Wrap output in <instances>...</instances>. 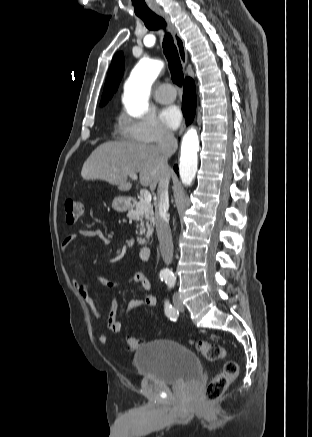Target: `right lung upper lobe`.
Masks as SVG:
<instances>
[{"instance_id": "1", "label": "right lung upper lobe", "mask_w": 312, "mask_h": 437, "mask_svg": "<svg viewBox=\"0 0 312 437\" xmlns=\"http://www.w3.org/2000/svg\"><path fill=\"white\" fill-rule=\"evenodd\" d=\"M124 72V55L118 52L112 59L111 66L108 71L107 79L104 85V92L101 98L100 105H105L117 90L120 80Z\"/></svg>"}]
</instances>
